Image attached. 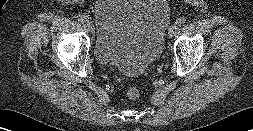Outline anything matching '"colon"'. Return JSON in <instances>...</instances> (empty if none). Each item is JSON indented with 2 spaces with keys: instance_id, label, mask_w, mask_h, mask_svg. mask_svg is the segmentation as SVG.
<instances>
[{
  "instance_id": "obj_1",
  "label": "colon",
  "mask_w": 253,
  "mask_h": 131,
  "mask_svg": "<svg viewBox=\"0 0 253 131\" xmlns=\"http://www.w3.org/2000/svg\"><path fill=\"white\" fill-rule=\"evenodd\" d=\"M127 96L130 99H136V98H138L139 97V90H138V88H136L135 86H130L127 89Z\"/></svg>"
}]
</instances>
